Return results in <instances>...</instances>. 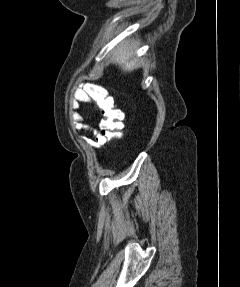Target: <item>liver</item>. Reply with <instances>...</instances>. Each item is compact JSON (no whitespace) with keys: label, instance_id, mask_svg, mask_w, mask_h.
I'll list each match as a JSON object with an SVG mask.
<instances>
[{"label":"liver","instance_id":"6515ba94","mask_svg":"<svg viewBox=\"0 0 240 287\" xmlns=\"http://www.w3.org/2000/svg\"><path fill=\"white\" fill-rule=\"evenodd\" d=\"M114 63L118 64L124 72H131L138 68L137 61L132 59V53L123 45L114 51Z\"/></svg>","mask_w":240,"mask_h":287}]
</instances>
